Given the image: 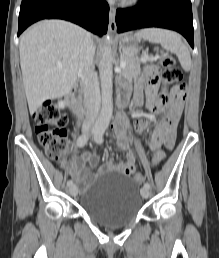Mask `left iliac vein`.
Listing matches in <instances>:
<instances>
[{"mask_svg":"<svg viewBox=\"0 0 219 258\" xmlns=\"http://www.w3.org/2000/svg\"><path fill=\"white\" fill-rule=\"evenodd\" d=\"M140 192L142 197L145 199H147L150 196V192L148 188L143 187Z\"/></svg>","mask_w":219,"mask_h":258,"instance_id":"1","label":"left iliac vein"}]
</instances>
